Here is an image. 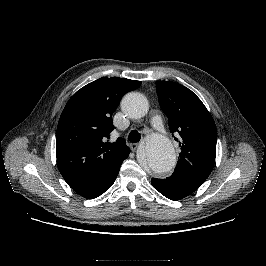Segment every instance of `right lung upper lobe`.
<instances>
[{
    "label": "right lung upper lobe",
    "instance_id": "right-lung-upper-lobe-1",
    "mask_svg": "<svg viewBox=\"0 0 266 266\" xmlns=\"http://www.w3.org/2000/svg\"><path fill=\"white\" fill-rule=\"evenodd\" d=\"M141 85L125 78H100L78 90L58 122V169L71 185L88 182L119 164L130 152L125 140L108 143L112 114L125 93Z\"/></svg>",
    "mask_w": 266,
    "mask_h": 266
}]
</instances>
